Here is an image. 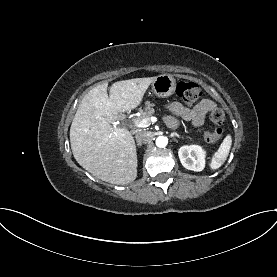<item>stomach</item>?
Segmentation results:
<instances>
[{
  "mask_svg": "<svg viewBox=\"0 0 277 277\" xmlns=\"http://www.w3.org/2000/svg\"><path fill=\"white\" fill-rule=\"evenodd\" d=\"M176 88V81L170 74H162L152 82V91L158 97H168L172 95Z\"/></svg>",
  "mask_w": 277,
  "mask_h": 277,
  "instance_id": "1",
  "label": "stomach"
}]
</instances>
